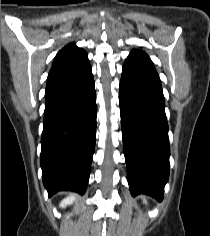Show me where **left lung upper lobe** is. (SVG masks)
<instances>
[{
	"instance_id": "left-lung-upper-lobe-1",
	"label": "left lung upper lobe",
	"mask_w": 210,
	"mask_h": 236,
	"mask_svg": "<svg viewBox=\"0 0 210 236\" xmlns=\"http://www.w3.org/2000/svg\"><path fill=\"white\" fill-rule=\"evenodd\" d=\"M126 60L153 64L150 58L143 51L140 50H133Z\"/></svg>"
}]
</instances>
